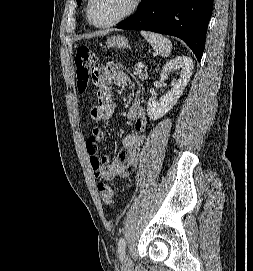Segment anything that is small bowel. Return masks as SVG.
Returning a JSON list of instances; mask_svg holds the SVG:
<instances>
[{
    "label": "small bowel",
    "instance_id": "1",
    "mask_svg": "<svg viewBox=\"0 0 253 271\" xmlns=\"http://www.w3.org/2000/svg\"><path fill=\"white\" fill-rule=\"evenodd\" d=\"M98 92L97 103L90 109L93 121L104 123L110 120L116 110L112 95V84L134 89L133 79L124 73L115 63H108L97 67ZM135 103L130 107L126 116L134 122V133H129L123 138V148L116 158L110 160L108 156L100 155L98 147L103 142L104 131L101 127H93L84 142L90 166L96 179L112 180L116 177H125L134 170L139 161V149L147 139V117L138 105L139 94L134 95Z\"/></svg>",
    "mask_w": 253,
    "mask_h": 271
}]
</instances>
